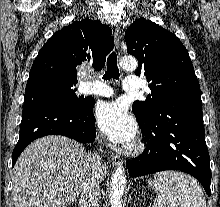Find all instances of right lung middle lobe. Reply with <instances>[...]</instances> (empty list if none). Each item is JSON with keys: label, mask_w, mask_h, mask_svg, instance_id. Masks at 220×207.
Masks as SVG:
<instances>
[{"label": "right lung middle lobe", "mask_w": 220, "mask_h": 207, "mask_svg": "<svg viewBox=\"0 0 220 207\" xmlns=\"http://www.w3.org/2000/svg\"><path fill=\"white\" fill-rule=\"evenodd\" d=\"M29 85L42 86L45 88L52 89L60 93L73 106H82L87 102V99L76 96L75 94L76 89L74 88L75 85L73 84H68L54 79H45Z\"/></svg>", "instance_id": "dd1d6c3e"}]
</instances>
